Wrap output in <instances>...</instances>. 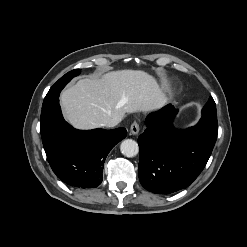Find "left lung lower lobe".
Returning <instances> with one entry per match:
<instances>
[{"instance_id": "obj_1", "label": "left lung lower lobe", "mask_w": 247, "mask_h": 247, "mask_svg": "<svg viewBox=\"0 0 247 247\" xmlns=\"http://www.w3.org/2000/svg\"><path fill=\"white\" fill-rule=\"evenodd\" d=\"M178 110L171 104L146 118L147 128L138 138L139 179L154 193L169 194L189 186L206 165L218 128L198 122L177 130L172 122Z\"/></svg>"}]
</instances>
